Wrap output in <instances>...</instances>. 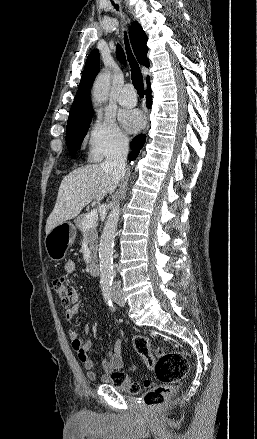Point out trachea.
Returning a JSON list of instances; mask_svg holds the SVG:
<instances>
[{"instance_id": "trachea-1", "label": "trachea", "mask_w": 257, "mask_h": 439, "mask_svg": "<svg viewBox=\"0 0 257 439\" xmlns=\"http://www.w3.org/2000/svg\"><path fill=\"white\" fill-rule=\"evenodd\" d=\"M113 5L115 6L116 9L119 8L118 5H115L113 3ZM125 43H126V51H127V56H128V60H129V64L131 66V79H132V83L135 87V89L137 90V93L139 95H144V84H143V76L140 70V67L137 63V61L135 60L132 51L129 47V43H128V39L127 36H125Z\"/></svg>"}]
</instances>
